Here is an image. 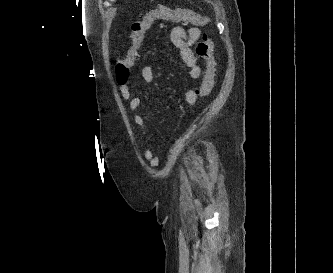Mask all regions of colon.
<instances>
[{
  "instance_id": "1",
  "label": "colon",
  "mask_w": 333,
  "mask_h": 273,
  "mask_svg": "<svg viewBox=\"0 0 333 273\" xmlns=\"http://www.w3.org/2000/svg\"><path fill=\"white\" fill-rule=\"evenodd\" d=\"M158 20L185 21L197 26L206 25L208 17L188 9H171L160 6L152 9L133 22L131 26V45L126 55L116 60L115 72L119 84H126L130 77L131 69L138 58L139 49L152 24ZM197 55L205 61V71L197 93L200 98L211 94L216 82L217 60L214 55V41L204 34L202 41L197 46Z\"/></svg>"
}]
</instances>
